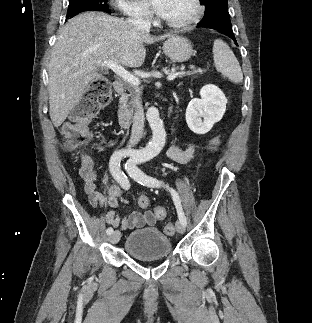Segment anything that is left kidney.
<instances>
[{
    "instance_id": "1",
    "label": "left kidney",
    "mask_w": 312,
    "mask_h": 323,
    "mask_svg": "<svg viewBox=\"0 0 312 323\" xmlns=\"http://www.w3.org/2000/svg\"><path fill=\"white\" fill-rule=\"evenodd\" d=\"M201 100L194 98L187 106L186 122L194 134H207L222 120L227 100L220 88L208 84L200 90ZM203 118V120H202Z\"/></svg>"
}]
</instances>
